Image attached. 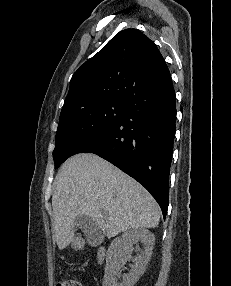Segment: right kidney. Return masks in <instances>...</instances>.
Segmentation results:
<instances>
[{
  "mask_svg": "<svg viewBox=\"0 0 231 286\" xmlns=\"http://www.w3.org/2000/svg\"><path fill=\"white\" fill-rule=\"evenodd\" d=\"M139 241L143 244V249L133 260L130 273L123 275L122 282H118L121 268L131 259L133 245ZM154 243V234L145 228L131 229L115 238L108 249L103 286H134L145 272Z\"/></svg>",
  "mask_w": 231,
  "mask_h": 286,
  "instance_id": "obj_1",
  "label": "right kidney"
}]
</instances>
